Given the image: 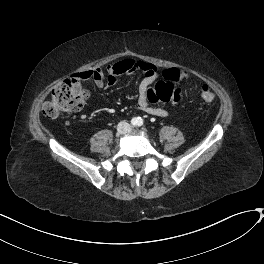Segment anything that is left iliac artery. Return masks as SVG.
<instances>
[{
    "label": "left iliac artery",
    "instance_id": "1",
    "mask_svg": "<svg viewBox=\"0 0 264 264\" xmlns=\"http://www.w3.org/2000/svg\"><path fill=\"white\" fill-rule=\"evenodd\" d=\"M143 125V119L139 118L137 121V126H142Z\"/></svg>",
    "mask_w": 264,
    "mask_h": 264
}]
</instances>
